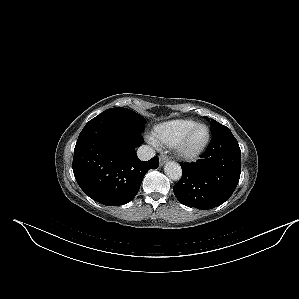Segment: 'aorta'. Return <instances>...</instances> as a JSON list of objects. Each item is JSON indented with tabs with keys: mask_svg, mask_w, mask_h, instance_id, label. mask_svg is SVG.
Masks as SVG:
<instances>
[{
	"mask_svg": "<svg viewBox=\"0 0 299 299\" xmlns=\"http://www.w3.org/2000/svg\"><path fill=\"white\" fill-rule=\"evenodd\" d=\"M165 174L172 180L177 181L182 176V169L176 162H167L164 167Z\"/></svg>",
	"mask_w": 299,
	"mask_h": 299,
	"instance_id": "aorta-1",
	"label": "aorta"
}]
</instances>
